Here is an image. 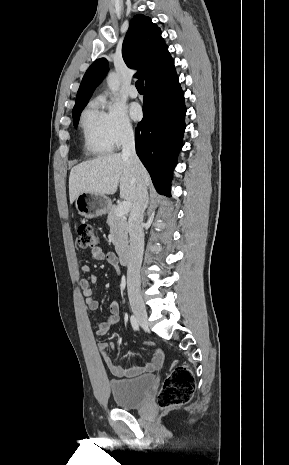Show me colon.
I'll return each mask as SVG.
<instances>
[{"instance_id":"colon-1","label":"colon","mask_w":289,"mask_h":465,"mask_svg":"<svg viewBox=\"0 0 289 465\" xmlns=\"http://www.w3.org/2000/svg\"><path fill=\"white\" fill-rule=\"evenodd\" d=\"M97 242V235L91 225L84 224L78 227L77 245L80 249H93ZM194 390L193 373L186 367H176L166 376L159 390L158 405L162 409H168L186 404L192 398Z\"/></svg>"}]
</instances>
